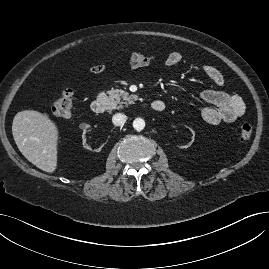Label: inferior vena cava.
Returning <instances> with one entry per match:
<instances>
[{
    "label": "inferior vena cava",
    "instance_id": "1",
    "mask_svg": "<svg viewBox=\"0 0 269 269\" xmlns=\"http://www.w3.org/2000/svg\"><path fill=\"white\" fill-rule=\"evenodd\" d=\"M127 120V116L122 113H117L112 117V122L115 126H123Z\"/></svg>",
    "mask_w": 269,
    "mask_h": 269
}]
</instances>
